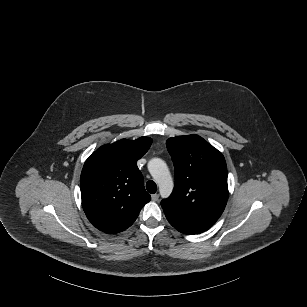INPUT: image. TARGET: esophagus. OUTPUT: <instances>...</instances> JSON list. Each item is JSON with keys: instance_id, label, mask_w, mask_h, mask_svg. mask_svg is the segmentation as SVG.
<instances>
[{"instance_id": "esophagus-1", "label": "esophagus", "mask_w": 307, "mask_h": 307, "mask_svg": "<svg viewBox=\"0 0 307 307\" xmlns=\"http://www.w3.org/2000/svg\"><path fill=\"white\" fill-rule=\"evenodd\" d=\"M151 197L154 202L159 200V194H152Z\"/></svg>"}]
</instances>
